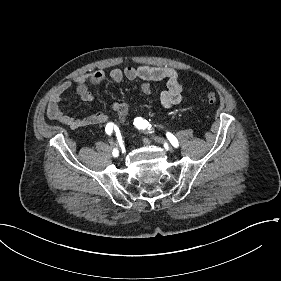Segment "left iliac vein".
Returning <instances> with one entry per match:
<instances>
[{
  "instance_id": "4c4485c4",
  "label": "left iliac vein",
  "mask_w": 281,
  "mask_h": 281,
  "mask_svg": "<svg viewBox=\"0 0 281 281\" xmlns=\"http://www.w3.org/2000/svg\"><path fill=\"white\" fill-rule=\"evenodd\" d=\"M153 140H155V142H158L160 144H163L164 148L167 150V151H170L172 150V147L170 146V144H168L166 141H164L162 138H159V137H152Z\"/></svg>"
}]
</instances>
